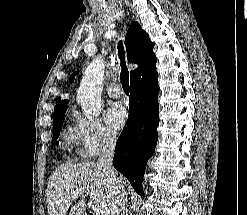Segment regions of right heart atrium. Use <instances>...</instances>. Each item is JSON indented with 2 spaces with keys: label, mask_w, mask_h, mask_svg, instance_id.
I'll return each mask as SVG.
<instances>
[{
  "label": "right heart atrium",
  "mask_w": 247,
  "mask_h": 215,
  "mask_svg": "<svg viewBox=\"0 0 247 215\" xmlns=\"http://www.w3.org/2000/svg\"><path fill=\"white\" fill-rule=\"evenodd\" d=\"M74 133L82 144L83 156L88 158L112 149L117 142V135L99 119L78 117Z\"/></svg>",
  "instance_id": "obj_1"
}]
</instances>
